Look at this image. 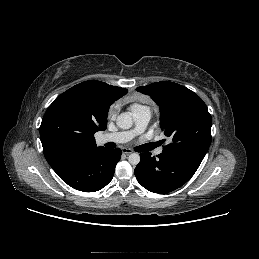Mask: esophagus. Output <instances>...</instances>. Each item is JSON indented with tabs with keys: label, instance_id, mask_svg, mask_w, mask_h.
I'll use <instances>...</instances> for the list:
<instances>
[{
	"label": "esophagus",
	"instance_id": "obj_1",
	"mask_svg": "<svg viewBox=\"0 0 259 259\" xmlns=\"http://www.w3.org/2000/svg\"><path fill=\"white\" fill-rule=\"evenodd\" d=\"M133 151L131 150V149H129V148H123L122 149V153L123 154H126V155H129V154H131Z\"/></svg>",
	"mask_w": 259,
	"mask_h": 259
}]
</instances>
